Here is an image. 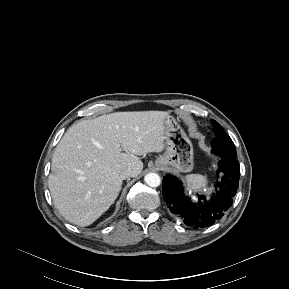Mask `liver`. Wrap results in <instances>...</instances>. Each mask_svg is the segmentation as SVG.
Segmentation results:
<instances>
[{
    "label": "liver",
    "mask_w": 289,
    "mask_h": 289,
    "mask_svg": "<svg viewBox=\"0 0 289 289\" xmlns=\"http://www.w3.org/2000/svg\"><path fill=\"white\" fill-rule=\"evenodd\" d=\"M168 114L116 112L72 125L55 148L48 187L55 207L69 222L88 226L116 200L120 172L143 170L137 157L165 149ZM125 151V152H123Z\"/></svg>",
    "instance_id": "1"
}]
</instances>
